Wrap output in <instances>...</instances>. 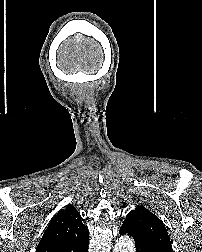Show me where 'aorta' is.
I'll return each instance as SVG.
<instances>
[{
	"mask_svg": "<svg viewBox=\"0 0 202 252\" xmlns=\"http://www.w3.org/2000/svg\"><path fill=\"white\" fill-rule=\"evenodd\" d=\"M134 241L129 236H122L116 241L114 252H135Z\"/></svg>",
	"mask_w": 202,
	"mask_h": 252,
	"instance_id": "aorta-1",
	"label": "aorta"
}]
</instances>
